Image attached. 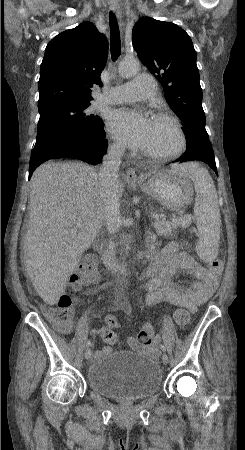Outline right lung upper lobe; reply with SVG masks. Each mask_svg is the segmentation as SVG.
<instances>
[{"label": "right lung upper lobe", "mask_w": 245, "mask_h": 450, "mask_svg": "<svg viewBox=\"0 0 245 450\" xmlns=\"http://www.w3.org/2000/svg\"><path fill=\"white\" fill-rule=\"evenodd\" d=\"M107 39L90 23L64 31L46 47L40 67L38 109L54 104H90L91 88L101 85Z\"/></svg>", "instance_id": "obj_1"}]
</instances>
